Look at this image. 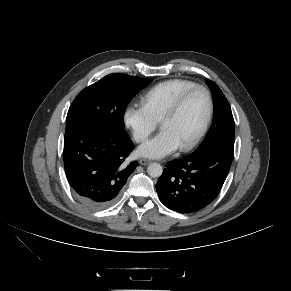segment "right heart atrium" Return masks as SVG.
I'll list each match as a JSON object with an SVG mask.
<instances>
[{
  "label": "right heart atrium",
  "mask_w": 291,
  "mask_h": 291,
  "mask_svg": "<svg viewBox=\"0 0 291 291\" xmlns=\"http://www.w3.org/2000/svg\"><path fill=\"white\" fill-rule=\"evenodd\" d=\"M123 121L137 142L147 139L158 124L142 105L137 104L126 106L123 113Z\"/></svg>",
  "instance_id": "obj_1"
}]
</instances>
